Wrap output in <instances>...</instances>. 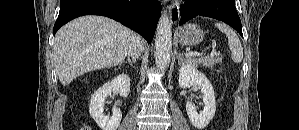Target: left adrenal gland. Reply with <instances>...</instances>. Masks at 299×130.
<instances>
[{"instance_id":"1","label":"left adrenal gland","mask_w":299,"mask_h":130,"mask_svg":"<svg viewBox=\"0 0 299 130\" xmlns=\"http://www.w3.org/2000/svg\"><path fill=\"white\" fill-rule=\"evenodd\" d=\"M184 62V56L183 54L178 55V64H182Z\"/></svg>"}]
</instances>
